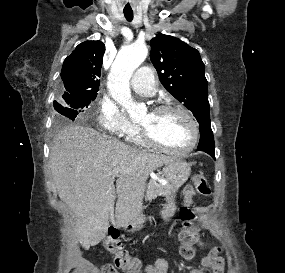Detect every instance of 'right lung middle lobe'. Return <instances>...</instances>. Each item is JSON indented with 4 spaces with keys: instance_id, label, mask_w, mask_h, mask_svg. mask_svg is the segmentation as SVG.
Listing matches in <instances>:
<instances>
[{
    "instance_id": "dd1d6c3e",
    "label": "right lung middle lobe",
    "mask_w": 285,
    "mask_h": 273,
    "mask_svg": "<svg viewBox=\"0 0 285 273\" xmlns=\"http://www.w3.org/2000/svg\"><path fill=\"white\" fill-rule=\"evenodd\" d=\"M97 93L88 95L67 96L60 99V103L54 102V108L58 112L57 120L63 121L65 118L74 121L76 116L88 108L89 104L96 98Z\"/></svg>"
}]
</instances>
